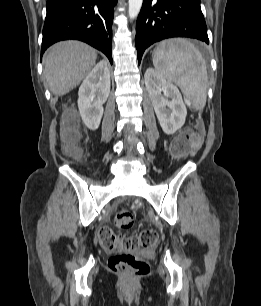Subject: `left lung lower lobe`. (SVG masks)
<instances>
[{
	"mask_svg": "<svg viewBox=\"0 0 261 306\" xmlns=\"http://www.w3.org/2000/svg\"><path fill=\"white\" fill-rule=\"evenodd\" d=\"M171 37L209 43L200 0H143L135 37L139 63L147 47Z\"/></svg>",
	"mask_w": 261,
	"mask_h": 306,
	"instance_id": "left-lung-lower-lobe-1",
	"label": "left lung lower lobe"
}]
</instances>
